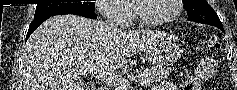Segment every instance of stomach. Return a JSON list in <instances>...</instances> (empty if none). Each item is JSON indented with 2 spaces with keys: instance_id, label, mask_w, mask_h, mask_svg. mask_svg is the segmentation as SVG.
Returning <instances> with one entry per match:
<instances>
[{
  "instance_id": "1",
  "label": "stomach",
  "mask_w": 237,
  "mask_h": 90,
  "mask_svg": "<svg viewBox=\"0 0 237 90\" xmlns=\"http://www.w3.org/2000/svg\"><path fill=\"white\" fill-rule=\"evenodd\" d=\"M181 53L182 50L178 45L159 38L146 48L148 59L159 67L175 64L181 57Z\"/></svg>"
}]
</instances>
